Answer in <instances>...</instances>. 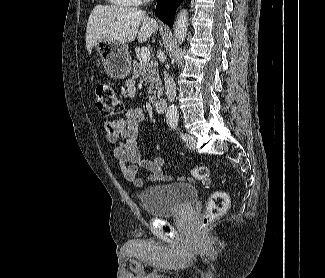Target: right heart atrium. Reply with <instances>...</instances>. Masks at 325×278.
<instances>
[{"mask_svg":"<svg viewBox=\"0 0 325 278\" xmlns=\"http://www.w3.org/2000/svg\"><path fill=\"white\" fill-rule=\"evenodd\" d=\"M137 4H143L147 2L148 0H135Z\"/></svg>","mask_w":325,"mask_h":278,"instance_id":"d8ad5b80","label":"right heart atrium"}]
</instances>
